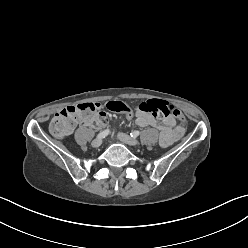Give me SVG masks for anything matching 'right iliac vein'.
<instances>
[{
	"label": "right iliac vein",
	"instance_id": "right-iliac-vein-1",
	"mask_svg": "<svg viewBox=\"0 0 248 248\" xmlns=\"http://www.w3.org/2000/svg\"><path fill=\"white\" fill-rule=\"evenodd\" d=\"M101 144H102V139L100 138L94 139L91 143L92 147L94 148H98L99 146H101Z\"/></svg>",
	"mask_w": 248,
	"mask_h": 248
}]
</instances>
